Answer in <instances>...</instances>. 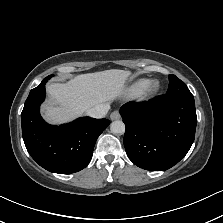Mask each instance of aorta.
Here are the masks:
<instances>
[{"label":"aorta","mask_w":223,"mask_h":223,"mask_svg":"<svg viewBox=\"0 0 223 223\" xmlns=\"http://www.w3.org/2000/svg\"><path fill=\"white\" fill-rule=\"evenodd\" d=\"M110 130L114 134H123L125 132V124L120 120L113 121L110 125Z\"/></svg>","instance_id":"obj_1"}]
</instances>
